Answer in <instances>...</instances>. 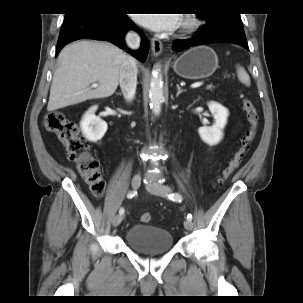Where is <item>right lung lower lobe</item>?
<instances>
[{"mask_svg": "<svg viewBox=\"0 0 303 303\" xmlns=\"http://www.w3.org/2000/svg\"><path fill=\"white\" fill-rule=\"evenodd\" d=\"M130 29L142 34V43L138 51L129 52L140 61H145L149 41L126 14L107 13L95 9H83L66 14L58 38L56 57L66 44L78 39L107 40L125 48L124 36Z\"/></svg>", "mask_w": 303, "mask_h": 303, "instance_id": "obj_1", "label": "right lung lower lobe"}]
</instances>
